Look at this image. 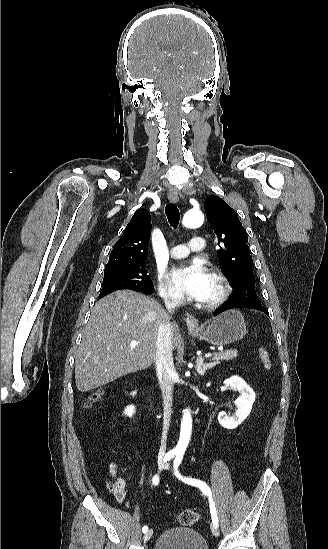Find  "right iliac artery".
Here are the masks:
<instances>
[{"label": "right iliac artery", "mask_w": 328, "mask_h": 549, "mask_svg": "<svg viewBox=\"0 0 328 549\" xmlns=\"http://www.w3.org/2000/svg\"><path fill=\"white\" fill-rule=\"evenodd\" d=\"M174 456H175V453L169 452V453H167V454L165 455L163 461H164V462H167V461H169L170 459H172ZM152 482H153L154 485H158V484H159V477H158V475H155V476L153 477ZM142 531H143V533H146V532L148 531V527H147V526H144V527L142 528Z\"/></svg>", "instance_id": "obj_1"}]
</instances>
